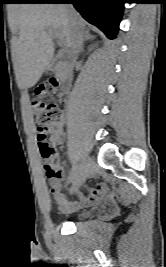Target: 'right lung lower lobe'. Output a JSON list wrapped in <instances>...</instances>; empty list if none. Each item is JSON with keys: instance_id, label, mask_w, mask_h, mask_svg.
Instances as JSON below:
<instances>
[{"instance_id": "right-lung-lower-lobe-1", "label": "right lung lower lobe", "mask_w": 166, "mask_h": 267, "mask_svg": "<svg viewBox=\"0 0 166 267\" xmlns=\"http://www.w3.org/2000/svg\"><path fill=\"white\" fill-rule=\"evenodd\" d=\"M20 3H72L91 24L109 39L115 38L123 12V0H25Z\"/></svg>"}]
</instances>
